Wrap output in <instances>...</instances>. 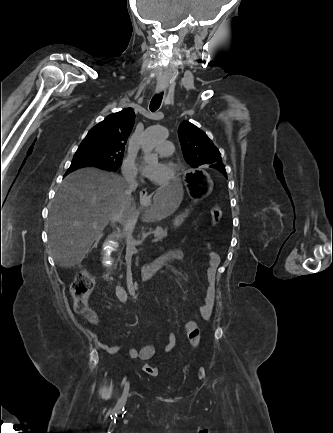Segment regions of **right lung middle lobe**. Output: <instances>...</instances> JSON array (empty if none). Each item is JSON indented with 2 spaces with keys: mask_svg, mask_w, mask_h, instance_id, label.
<instances>
[{
  "mask_svg": "<svg viewBox=\"0 0 333 433\" xmlns=\"http://www.w3.org/2000/svg\"><path fill=\"white\" fill-rule=\"evenodd\" d=\"M124 149L103 148L83 141L72 160L74 163H93L116 170L122 163Z\"/></svg>",
  "mask_w": 333,
  "mask_h": 433,
  "instance_id": "dd1d6c3e",
  "label": "right lung middle lobe"
}]
</instances>
